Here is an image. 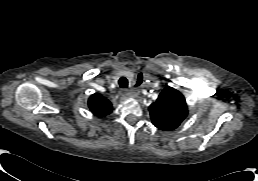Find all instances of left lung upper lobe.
Returning a JSON list of instances; mask_svg holds the SVG:
<instances>
[{
    "label": "left lung upper lobe",
    "mask_w": 258,
    "mask_h": 181,
    "mask_svg": "<svg viewBox=\"0 0 258 181\" xmlns=\"http://www.w3.org/2000/svg\"><path fill=\"white\" fill-rule=\"evenodd\" d=\"M154 126L161 130L177 128L187 116L184 96L172 87H166L156 102L149 107Z\"/></svg>",
    "instance_id": "1"
}]
</instances>
